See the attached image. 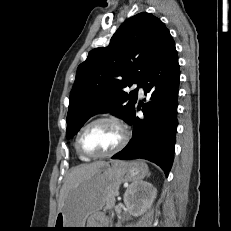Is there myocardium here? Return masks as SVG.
<instances>
[{"label":"myocardium","instance_id":"myocardium-1","mask_svg":"<svg viewBox=\"0 0 231 231\" xmlns=\"http://www.w3.org/2000/svg\"><path fill=\"white\" fill-rule=\"evenodd\" d=\"M99 122H110V123L115 124L121 131V140L116 147H114L112 150H110L108 152L101 153V154L86 153L81 147L82 135L87 128H89L93 124H96ZM129 139H130V131H129L128 127L124 124L123 121H121L119 118L114 117V116H100V117H97V118L89 121L87 124H85L81 128V130L78 132L76 140H75V147H76L77 152L82 157H85L87 159L105 158V157H109V156L115 155L116 153L120 152L127 145Z\"/></svg>","mask_w":231,"mask_h":231}]
</instances>
